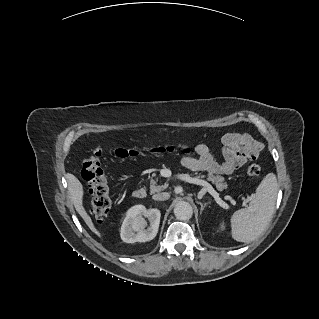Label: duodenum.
<instances>
[{
	"mask_svg": "<svg viewBox=\"0 0 319 319\" xmlns=\"http://www.w3.org/2000/svg\"><path fill=\"white\" fill-rule=\"evenodd\" d=\"M146 195H147L146 190L143 188L136 189L132 193V196L138 200L144 199Z\"/></svg>",
	"mask_w": 319,
	"mask_h": 319,
	"instance_id": "duodenum-1",
	"label": "duodenum"
}]
</instances>
